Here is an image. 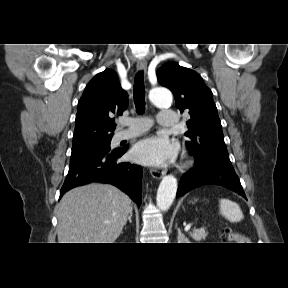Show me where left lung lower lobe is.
<instances>
[{"mask_svg":"<svg viewBox=\"0 0 288 288\" xmlns=\"http://www.w3.org/2000/svg\"><path fill=\"white\" fill-rule=\"evenodd\" d=\"M203 185H220L235 191L246 199L240 180L233 168L214 161L202 162L199 160H196L195 166L180 179L176 197Z\"/></svg>","mask_w":288,"mask_h":288,"instance_id":"1","label":"left lung lower lobe"}]
</instances>
